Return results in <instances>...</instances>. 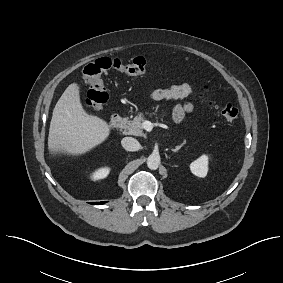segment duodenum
<instances>
[{"label": "duodenum", "instance_id": "obj_1", "mask_svg": "<svg viewBox=\"0 0 283 283\" xmlns=\"http://www.w3.org/2000/svg\"><path fill=\"white\" fill-rule=\"evenodd\" d=\"M124 125V118L121 115H114L110 121V129L115 131L122 128Z\"/></svg>", "mask_w": 283, "mask_h": 283}]
</instances>
